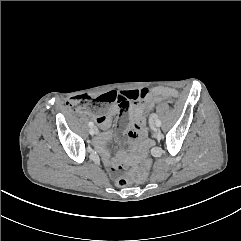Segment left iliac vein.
<instances>
[{
    "label": "left iliac vein",
    "mask_w": 241,
    "mask_h": 241,
    "mask_svg": "<svg viewBox=\"0 0 241 241\" xmlns=\"http://www.w3.org/2000/svg\"><path fill=\"white\" fill-rule=\"evenodd\" d=\"M152 128H153V131H154V132H157V131H158L157 125H153Z\"/></svg>",
    "instance_id": "4c4485c4"
}]
</instances>
